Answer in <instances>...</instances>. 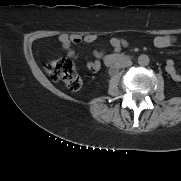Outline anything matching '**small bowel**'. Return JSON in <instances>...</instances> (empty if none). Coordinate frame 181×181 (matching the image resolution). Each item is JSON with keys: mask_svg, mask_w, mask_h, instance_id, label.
<instances>
[{"mask_svg": "<svg viewBox=\"0 0 181 181\" xmlns=\"http://www.w3.org/2000/svg\"><path fill=\"white\" fill-rule=\"evenodd\" d=\"M96 40L95 35H86L81 36L78 34H60L58 36V41L63 47V49L67 52V55L71 58H77V53L73 49V46L78 45L82 42L91 43ZM175 42V37L172 35H159L154 39V45L157 48H167L171 46ZM111 45L113 47V50L115 53H118L122 47H125L127 45V42L121 38H113L111 40ZM116 54H112L111 56H114ZM97 57H99L98 54H96ZM87 68L92 71L96 72L100 68V62L98 59L94 61H89L87 63ZM166 71L168 75L174 80L181 82V73L177 70L174 62L172 60H168L166 63Z\"/></svg>", "mask_w": 181, "mask_h": 181, "instance_id": "1", "label": "small bowel"}]
</instances>
